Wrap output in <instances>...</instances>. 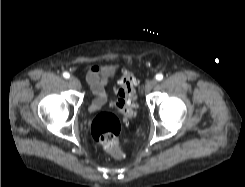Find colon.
<instances>
[{"label":"colon","instance_id":"1","mask_svg":"<svg viewBox=\"0 0 245 187\" xmlns=\"http://www.w3.org/2000/svg\"><path fill=\"white\" fill-rule=\"evenodd\" d=\"M136 84V76L132 72L125 71L116 87L113 106L124 116V120L119 119L112 113H101L92 122L93 137L107 152L116 158L123 157L118 138L125 121L134 116L137 107Z\"/></svg>","mask_w":245,"mask_h":187}]
</instances>
